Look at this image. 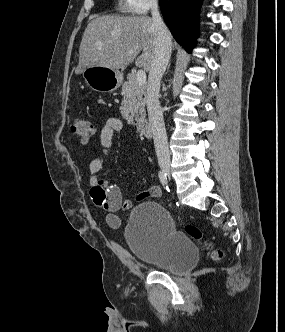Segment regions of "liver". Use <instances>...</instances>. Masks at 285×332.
I'll return each mask as SVG.
<instances>
[{
  "label": "liver",
  "mask_w": 285,
  "mask_h": 332,
  "mask_svg": "<svg viewBox=\"0 0 285 332\" xmlns=\"http://www.w3.org/2000/svg\"><path fill=\"white\" fill-rule=\"evenodd\" d=\"M141 51L142 54L139 55ZM154 52L155 36L151 18L108 15L96 17L84 31L75 73H83L92 66L118 70L134 59L137 67L149 71Z\"/></svg>",
  "instance_id": "6515ba94"
}]
</instances>
